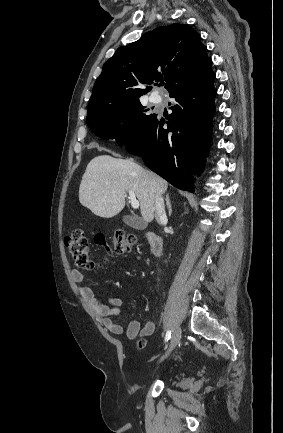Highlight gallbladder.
<instances>
[{"instance_id":"obj_1","label":"gallbladder","mask_w":283,"mask_h":433,"mask_svg":"<svg viewBox=\"0 0 283 433\" xmlns=\"http://www.w3.org/2000/svg\"><path fill=\"white\" fill-rule=\"evenodd\" d=\"M123 221L126 225H129V227L139 229V231H142V229H146L147 227V223H145L141 217H129V214H126V217H123Z\"/></svg>"}]
</instances>
